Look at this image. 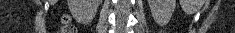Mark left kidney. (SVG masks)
Segmentation results:
<instances>
[{
  "mask_svg": "<svg viewBox=\"0 0 235 33\" xmlns=\"http://www.w3.org/2000/svg\"><path fill=\"white\" fill-rule=\"evenodd\" d=\"M152 16L160 23H167L174 12L176 0H147Z\"/></svg>",
  "mask_w": 235,
  "mask_h": 33,
  "instance_id": "1",
  "label": "left kidney"
}]
</instances>
